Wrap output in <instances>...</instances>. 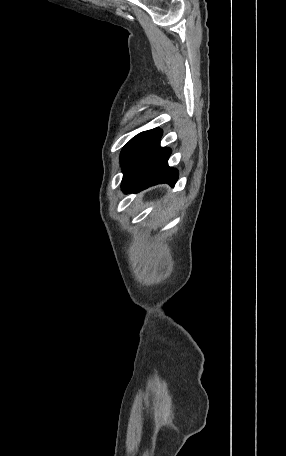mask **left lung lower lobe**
<instances>
[{
	"mask_svg": "<svg viewBox=\"0 0 286 456\" xmlns=\"http://www.w3.org/2000/svg\"><path fill=\"white\" fill-rule=\"evenodd\" d=\"M162 130L145 131L132 143L123 158L124 193L137 192L156 184L167 183L172 187L178 179V171L168 166L169 148L160 147Z\"/></svg>",
	"mask_w": 286,
	"mask_h": 456,
	"instance_id": "left-lung-lower-lobe-1",
	"label": "left lung lower lobe"
}]
</instances>
